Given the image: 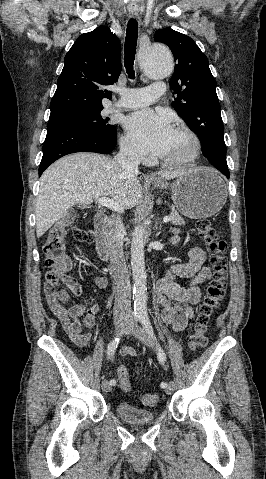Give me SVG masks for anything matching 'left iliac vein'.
I'll return each instance as SVG.
<instances>
[{"instance_id": "4c4485c4", "label": "left iliac vein", "mask_w": 266, "mask_h": 479, "mask_svg": "<svg viewBox=\"0 0 266 479\" xmlns=\"http://www.w3.org/2000/svg\"><path fill=\"white\" fill-rule=\"evenodd\" d=\"M126 334L134 335L138 338L141 342H143L149 348L155 347V342L153 341L152 337L141 327L133 325L131 322L126 330ZM174 390V383L170 381L167 384L165 392L167 394H171Z\"/></svg>"}]
</instances>
